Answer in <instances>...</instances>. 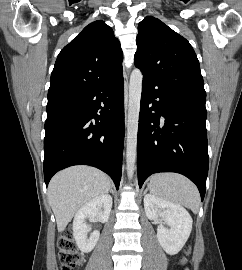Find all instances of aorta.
Wrapping results in <instances>:
<instances>
[{
  "label": "aorta",
  "instance_id": "1",
  "mask_svg": "<svg viewBox=\"0 0 242 270\" xmlns=\"http://www.w3.org/2000/svg\"><path fill=\"white\" fill-rule=\"evenodd\" d=\"M143 74L134 69L130 76L129 104L127 121L126 164L129 179H132L136 161L137 133L139 124L140 100L142 93Z\"/></svg>",
  "mask_w": 242,
  "mask_h": 270
}]
</instances>
